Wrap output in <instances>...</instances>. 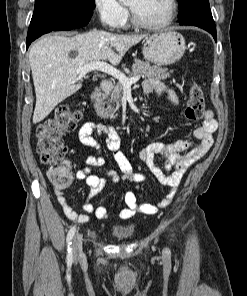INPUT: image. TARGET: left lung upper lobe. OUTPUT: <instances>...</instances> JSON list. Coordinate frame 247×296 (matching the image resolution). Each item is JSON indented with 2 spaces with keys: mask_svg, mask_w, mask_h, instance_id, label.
<instances>
[{
  "mask_svg": "<svg viewBox=\"0 0 247 296\" xmlns=\"http://www.w3.org/2000/svg\"><path fill=\"white\" fill-rule=\"evenodd\" d=\"M179 14L178 18H183L193 12L199 6H209V0H178Z\"/></svg>",
  "mask_w": 247,
  "mask_h": 296,
  "instance_id": "left-lung-upper-lobe-1",
  "label": "left lung upper lobe"
}]
</instances>
